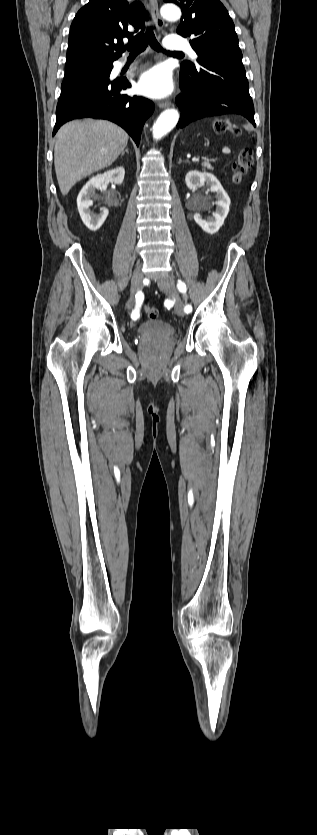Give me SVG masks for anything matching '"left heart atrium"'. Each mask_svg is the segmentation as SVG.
Returning a JSON list of instances; mask_svg holds the SVG:
<instances>
[{
    "mask_svg": "<svg viewBox=\"0 0 317 835\" xmlns=\"http://www.w3.org/2000/svg\"><path fill=\"white\" fill-rule=\"evenodd\" d=\"M138 91L152 98H163L173 90V81L169 70L157 65L144 72L137 84Z\"/></svg>",
    "mask_w": 317,
    "mask_h": 835,
    "instance_id": "left-heart-atrium-1",
    "label": "left heart atrium"
}]
</instances>
